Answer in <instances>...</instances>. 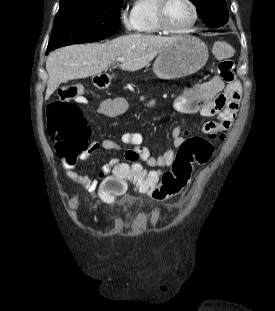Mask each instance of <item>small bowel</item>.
<instances>
[{"mask_svg": "<svg viewBox=\"0 0 275 311\" xmlns=\"http://www.w3.org/2000/svg\"><path fill=\"white\" fill-rule=\"evenodd\" d=\"M229 56L234 54L233 49H229ZM241 86L238 81L227 82L214 76L204 83L187 90L184 95L175 102V109L183 114H199L204 117L217 116L218 121H208L201 125L200 131L207 136L221 129H228L238 109ZM193 128L177 126L172 130V141L175 148L179 147L186 136ZM121 142L132 145L133 149H124L125 160H141L149 167H168L175 159L174 149H165L162 154L153 156L149 148L144 144V139L139 132H125L121 135ZM101 149L122 151L120 143L101 138L92 141L80 158L88 160L100 153ZM76 162L74 160H63L62 165L67 176L86 191L96 193L99 189V181H103L105 175H110L114 168L122 164L117 158L106 162L97 174V178L83 175L76 172ZM78 195L76 192L73 194ZM69 213H82L83 208L76 201H72L68 208Z\"/></svg>", "mask_w": 275, "mask_h": 311, "instance_id": "obj_1", "label": "small bowel"}]
</instances>
